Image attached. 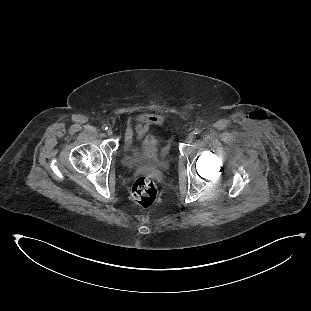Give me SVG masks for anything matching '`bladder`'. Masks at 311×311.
Segmentation results:
<instances>
[{"mask_svg": "<svg viewBox=\"0 0 311 311\" xmlns=\"http://www.w3.org/2000/svg\"><path fill=\"white\" fill-rule=\"evenodd\" d=\"M122 154L132 169L163 171L172 156L171 149H165L162 138L155 134H145L136 140L131 132L124 135Z\"/></svg>", "mask_w": 311, "mask_h": 311, "instance_id": "bladder-1", "label": "bladder"}]
</instances>
